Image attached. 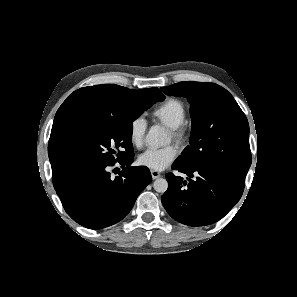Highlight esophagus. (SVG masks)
<instances>
[{
  "instance_id": "obj_1",
  "label": "esophagus",
  "mask_w": 297,
  "mask_h": 297,
  "mask_svg": "<svg viewBox=\"0 0 297 297\" xmlns=\"http://www.w3.org/2000/svg\"><path fill=\"white\" fill-rule=\"evenodd\" d=\"M151 176L153 179H157L161 176L160 172L159 171H156V170H151Z\"/></svg>"
}]
</instances>
